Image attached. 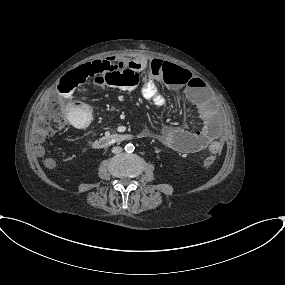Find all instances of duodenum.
Returning <instances> with one entry per match:
<instances>
[{
    "instance_id": "obj_1",
    "label": "duodenum",
    "mask_w": 285,
    "mask_h": 285,
    "mask_svg": "<svg viewBox=\"0 0 285 285\" xmlns=\"http://www.w3.org/2000/svg\"><path fill=\"white\" fill-rule=\"evenodd\" d=\"M140 137V135L130 133H112L95 139L93 142V147L101 149L107 146L128 142Z\"/></svg>"
}]
</instances>
